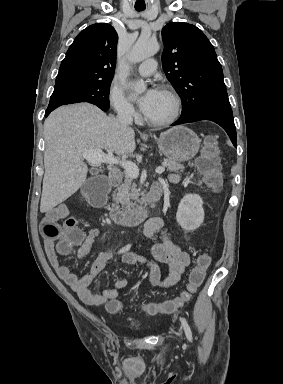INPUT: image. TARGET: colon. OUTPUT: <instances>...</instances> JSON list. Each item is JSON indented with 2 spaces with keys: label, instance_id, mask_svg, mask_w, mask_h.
<instances>
[{
  "label": "colon",
  "instance_id": "obj_1",
  "mask_svg": "<svg viewBox=\"0 0 283 384\" xmlns=\"http://www.w3.org/2000/svg\"><path fill=\"white\" fill-rule=\"evenodd\" d=\"M219 153L220 150L216 139L208 137L204 141L201 154L197 159V167L204 182L214 191L219 190L223 182L219 164ZM109 188V182L104 177L95 176L88 180L81 194L89 205L101 206L105 202ZM42 233L48 238L60 241L58 250L61 253H67L73 246L80 244L83 240V234L77 227V221L74 218H68L62 226L56 222H46L42 226ZM210 264V254L208 252L201 253L189 274L185 292L174 300L163 303H147L142 306V309L152 315L157 313H173L185 304L191 295L202 285ZM106 308L110 313H120L123 311L124 305L122 302L114 300L108 302Z\"/></svg>",
  "mask_w": 283,
  "mask_h": 384
}]
</instances>
